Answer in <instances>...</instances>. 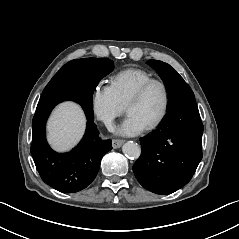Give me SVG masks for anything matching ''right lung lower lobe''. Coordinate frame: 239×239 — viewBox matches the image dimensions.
I'll use <instances>...</instances> for the list:
<instances>
[{
  "label": "right lung lower lobe",
  "instance_id": "1",
  "mask_svg": "<svg viewBox=\"0 0 239 239\" xmlns=\"http://www.w3.org/2000/svg\"><path fill=\"white\" fill-rule=\"evenodd\" d=\"M99 81L86 80L95 88ZM92 96L88 89H73L47 97L39 101L32 120L31 154L36 168L46 184L63 193H75L86 188L96 177L102 157L112 149L111 140H101L98 136L93 122ZM65 100L76 101L82 106L87 128L83 139L71 152L59 154L47 144L45 127L51 110Z\"/></svg>",
  "mask_w": 239,
  "mask_h": 239
}]
</instances>
